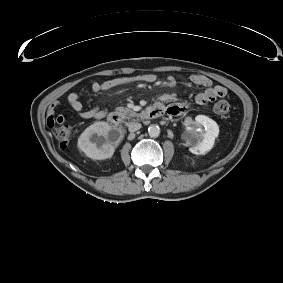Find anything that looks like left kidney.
I'll return each mask as SVG.
<instances>
[{"label":"left kidney","instance_id":"1","mask_svg":"<svg viewBox=\"0 0 283 283\" xmlns=\"http://www.w3.org/2000/svg\"><path fill=\"white\" fill-rule=\"evenodd\" d=\"M204 127V129H201ZM187 145L190 146L191 153L204 155L209 152L215 143V138L219 134L218 124L205 115L195 117V125L187 128Z\"/></svg>","mask_w":283,"mask_h":283}]
</instances>
